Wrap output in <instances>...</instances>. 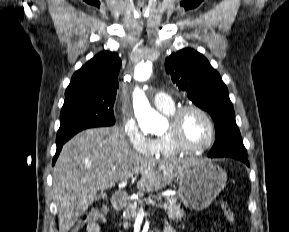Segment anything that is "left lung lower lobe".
Returning <instances> with one entry per match:
<instances>
[{"instance_id": "obj_1", "label": "left lung lower lobe", "mask_w": 289, "mask_h": 232, "mask_svg": "<svg viewBox=\"0 0 289 232\" xmlns=\"http://www.w3.org/2000/svg\"><path fill=\"white\" fill-rule=\"evenodd\" d=\"M224 157H231L234 159H238L240 161H243L247 166H249V162H248L246 156H244V155H228V156H224Z\"/></svg>"}]
</instances>
